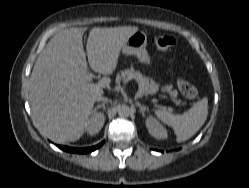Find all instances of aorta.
I'll use <instances>...</instances> for the list:
<instances>
[{"label":"aorta","mask_w":249,"mask_h":188,"mask_svg":"<svg viewBox=\"0 0 249 188\" xmlns=\"http://www.w3.org/2000/svg\"><path fill=\"white\" fill-rule=\"evenodd\" d=\"M118 115L120 117H128L130 115V108L127 105L119 106Z\"/></svg>","instance_id":"762f6f07"}]
</instances>
